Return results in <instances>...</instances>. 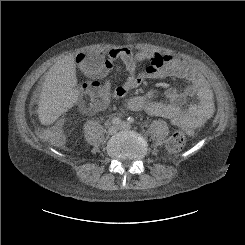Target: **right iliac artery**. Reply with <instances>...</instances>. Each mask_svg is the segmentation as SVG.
<instances>
[{"label": "right iliac artery", "instance_id": "obj_1", "mask_svg": "<svg viewBox=\"0 0 245 245\" xmlns=\"http://www.w3.org/2000/svg\"><path fill=\"white\" fill-rule=\"evenodd\" d=\"M121 122V119L119 117H114L112 119V124L118 125Z\"/></svg>", "mask_w": 245, "mask_h": 245}]
</instances>
